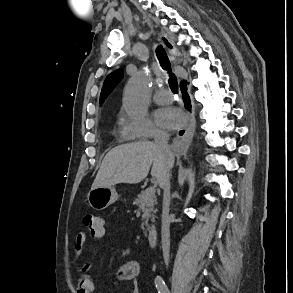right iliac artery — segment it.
Returning a JSON list of instances; mask_svg holds the SVG:
<instances>
[{
  "label": "right iliac artery",
  "mask_w": 293,
  "mask_h": 293,
  "mask_svg": "<svg viewBox=\"0 0 293 293\" xmlns=\"http://www.w3.org/2000/svg\"><path fill=\"white\" fill-rule=\"evenodd\" d=\"M155 285L158 290V293H169V290L160 276L155 278Z\"/></svg>",
  "instance_id": "obj_1"
}]
</instances>
